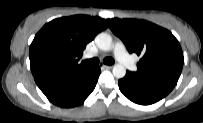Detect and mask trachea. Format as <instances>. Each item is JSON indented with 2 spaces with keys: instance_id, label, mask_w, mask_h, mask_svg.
<instances>
[{
  "instance_id": "trachea-1",
  "label": "trachea",
  "mask_w": 203,
  "mask_h": 123,
  "mask_svg": "<svg viewBox=\"0 0 203 123\" xmlns=\"http://www.w3.org/2000/svg\"><path fill=\"white\" fill-rule=\"evenodd\" d=\"M103 62L107 65H112V64H114V59H112L111 57H106ZM82 63L84 65L94 66L99 63V59L93 58V59H89V60H84Z\"/></svg>"
}]
</instances>
